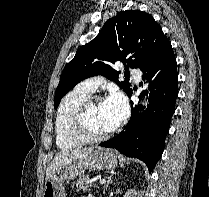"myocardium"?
Returning a JSON list of instances; mask_svg holds the SVG:
<instances>
[{
    "label": "myocardium",
    "mask_w": 209,
    "mask_h": 197,
    "mask_svg": "<svg viewBox=\"0 0 209 197\" xmlns=\"http://www.w3.org/2000/svg\"><path fill=\"white\" fill-rule=\"evenodd\" d=\"M98 101H102L101 96H89L72 112L69 118L68 132L73 140L79 143H96L107 139L115 132V127L98 135H93L88 132L86 127L87 112Z\"/></svg>",
    "instance_id": "myocardium-1"
}]
</instances>
